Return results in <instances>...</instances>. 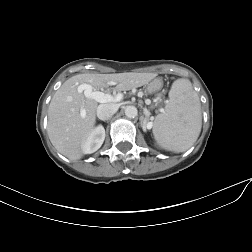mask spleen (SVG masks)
I'll list each match as a JSON object with an SVG mask.
<instances>
[{
    "instance_id": "spleen-1",
    "label": "spleen",
    "mask_w": 252,
    "mask_h": 252,
    "mask_svg": "<svg viewBox=\"0 0 252 252\" xmlns=\"http://www.w3.org/2000/svg\"><path fill=\"white\" fill-rule=\"evenodd\" d=\"M202 127L201 104L188 79H177L165 109L153 124L157 143L168 151L184 152L198 139Z\"/></svg>"
}]
</instances>
